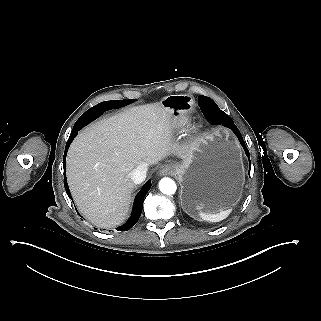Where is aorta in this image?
Segmentation results:
<instances>
[{"label":"aorta","mask_w":321,"mask_h":321,"mask_svg":"<svg viewBox=\"0 0 321 321\" xmlns=\"http://www.w3.org/2000/svg\"><path fill=\"white\" fill-rule=\"evenodd\" d=\"M159 189L163 194L172 195L176 192V183L168 177L162 178L159 182Z\"/></svg>","instance_id":"obj_1"}]
</instances>
